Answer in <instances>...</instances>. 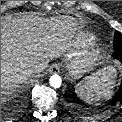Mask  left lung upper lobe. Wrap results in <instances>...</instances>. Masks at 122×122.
Returning <instances> with one entry per match:
<instances>
[{"mask_svg": "<svg viewBox=\"0 0 122 122\" xmlns=\"http://www.w3.org/2000/svg\"><path fill=\"white\" fill-rule=\"evenodd\" d=\"M114 49L122 50V33L118 31L114 34Z\"/></svg>", "mask_w": 122, "mask_h": 122, "instance_id": "obj_1", "label": "left lung upper lobe"}]
</instances>
